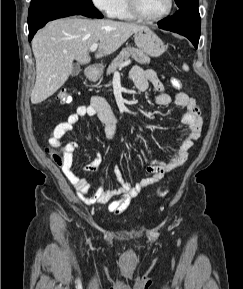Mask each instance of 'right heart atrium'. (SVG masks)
Wrapping results in <instances>:
<instances>
[{
	"label": "right heart atrium",
	"mask_w": 243,
	"mask_h": 289,
	"mask_svg": "<svg viewBox=\"0 0 243 289\" xmlns=\"http://www.w3.org/2000/svg\"><path fill=\"white\" fill-rule=\"evenodd\" d=\"M91 1L97 9L111 16L119 0H91Z\"/></svg>",
	"instance_id": "obj_1"
}]
</instances>
